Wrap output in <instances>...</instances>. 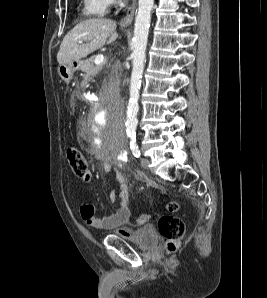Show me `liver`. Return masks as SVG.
<instances>
[{"instance_id": "1", "label": "liver", "mask_w": 267, "mask_h": 298, "mask_svg": "<svg viewBox=\"0 0 267 298\" xmlns=\"http://www.w3.org/2000/svg\"><path fill=\"white\" fill-rule=\"evenodd\" d=\"M116 22L110 19L92 18L77 24L64 37L57 53L59 65L79 61L106 43L114 42L118 34L115 32ZM79 40L84 44H79Z\"/></svg>"}]
</instances>
